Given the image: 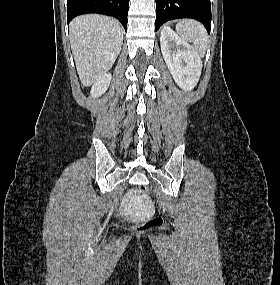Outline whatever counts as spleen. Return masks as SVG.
<instances>
[{"mask_svg":"<svg viewBox=\"0 0 280 285\" xmlns=\"http://www.w3.org/2000/svg\"><path fill=\"white\" fill-rule=\"evenodd\" d=\"M176 31L184 40L193 45L201 57L205 55L208 36L202 24L194 20H181L176 25Z\"/></svg>","mask_w":280,"mask_h":285,"instance_id":"obj_1","label":"spleen"}]
</instances>
